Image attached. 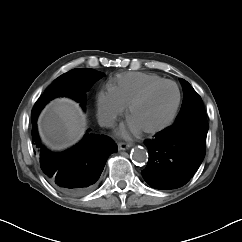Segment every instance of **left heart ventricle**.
I'll list each match as a JSON object with an SVG mask.
<instances>
[{
	"mask_svg": "<svg viewBox=\"0 0 242 242\" xmlns=\"http://www.w3.org/2000/svg\"><path fill=\"white\" fill-rule=\"evenodd\" d=\"M177 101V91L173 85H162L132 112V121L140 130L155 128L163 124L171 115Z\"/></svg>",
	"mask_w": 242,
	"mask_h": 242,
	"instance_id": "1",
	"label": "left heart ventricle"
}]
</instances>
